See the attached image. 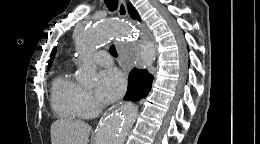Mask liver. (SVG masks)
<instances>
[{
    "label": "liver",
    "mask_w": 260,
    "mask_h": 144,
    "mask_svg": "<svg viewBox=\"0 0 260 144\" xmlns=\"http://www.w3.org/2000/svg\"><path fill=\"white\" fill-rule=\"evenodd\" d=\"M90 131L91 126L81 120L61 118L51 125V143L88 144Z\"/></svg>",
    "instance_id": "liver-1"
}]
</instances>
